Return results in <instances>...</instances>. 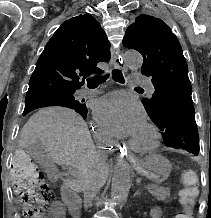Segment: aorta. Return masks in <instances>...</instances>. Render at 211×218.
<instances>
[{"label": "aorta", "instance_id": "762f6f07", "mask_svg": "<svg viewBox=\"0 0 211 218\" xmlns=\"http://www.w3.org/2000/svg\"><path fill=\"white\" fill-rule=\"evenodd\" d=\"M124 60L131 69H139L143 63L142 56L136 51H127L124 55ZM130 160V155H122L117 160L114 168L111 197L117 202L125 200L130 189Z\"/></svg>", "mask_w": 211, "mask_h": 218}]
</instances>
